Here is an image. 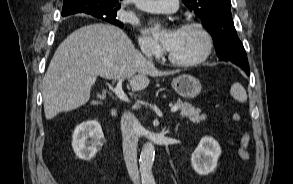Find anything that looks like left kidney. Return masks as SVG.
I'll return each mask as SVG.
<instances>
[{"label":"left kidney","instance_id":"obj_1","mask_svg":"<svg viewBox=\"0 0 293 184\" xmlns=\"http://www.w3.org/2000/svg\"><path fill=\"white\" fill-rule=\"evenodd\" d=\"M220 155L219 143L212 137L205 136L191 155L192 167L199 175H208L216 169Z\"/></svg>","mask_w":293,"mask_h":184}]
</instances>
